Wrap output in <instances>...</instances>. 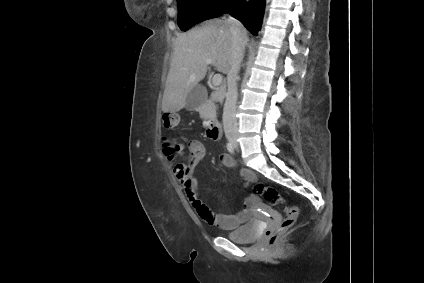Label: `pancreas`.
<instances>
[{"mask_svg": "<svg viewBox=\"0 0 424 283\" xmlns=\"http://www.w3.org/2000/svg\"><path fill=\"white\" fill-rule=\"evenodd\" d=\"M214 107H215V106H214V104H213V103L203 105V106L201 107V109H200V115H201L202 117L208 118V117L211 115V113H212V109H213Z\"/></svg>", "mask_w": 424, "mask_h": 283, "instance_id": "pancreas-1", "label": "pancreas"}]
</instances>
